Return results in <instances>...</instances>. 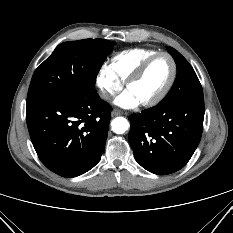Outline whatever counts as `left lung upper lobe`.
<instances>
[{"label": "left lung upper lobe", "instance_id": "1", "mask_svg": "<svg viewBox=\"0 0 233 233\" xmlns=\"http://www.w3.org/2000/svg\"><path fill=\"white\" fill-rule=\"evenodd\" d=\"M167 50L177 65V76L171 90L159 104L179 100H204L201 84L192 66L174 48L168 47Z\"/></svg>", "mask_w": 233, "mask_h": 233}]
</instances>
